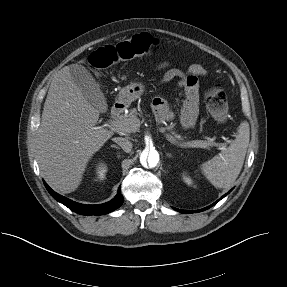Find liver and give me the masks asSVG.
<instances>
[{"mask_svg":"<svg viewBox=\"0 0 287 287\" xmlns=\"http://www.w3.org/2000/svg\"><path fill=\"white\" fill-rule=\"evenodd\" d=\"M98 119V109L63 67L50 84L35 141L41 173L53 189L75 191L90 158L113 135L96 126Z\"/></svg>","mask_w":287,"mask_h":287,"instance_id":"1","label":"liver"}]
</instances>
